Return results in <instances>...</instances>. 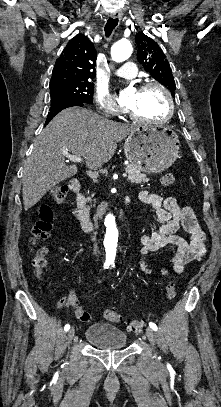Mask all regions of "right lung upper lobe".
Instances as JSON below:
<instances>
[{"instance_id":"1","label":"right lung upper lobe","mask_w":221,"mask_h":407,"mask_svg":"<svg viewBox=\"0 0 221 407\" xmlns=\"http://www.w3.org/2000/svg\"><path fill=\"white\" fill-rule=\"evenodd\" d=\"M96 49L83 34L73 37L56 60L50 90L69 84L90 82L95 77Z\"/></svg>"}]
</instances>
